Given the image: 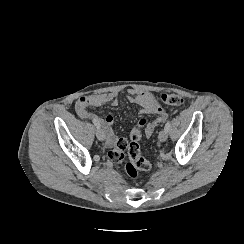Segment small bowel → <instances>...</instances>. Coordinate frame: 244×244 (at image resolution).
<instances>
[{
	"mask_svg": "<svg viewBox=\"0 0 244 244\" xmlns=\"http://www.w3.org/2000/svg\"><path fill=\"white\" fill-rule=\"evenodd\" d=\"M127 99L130 103L140 107V114L142 116H154L152 120L147 121L145 118H142L139 121L140 126L145 127L146 136H151L155 129L166 121L167 112L152 92L131 89L128 91ZM105 104L118 105L117 95L115 93H99L82 96L75 103V111L78 117L83 120H87L89 117L99 120L100 126L103 128L105 134V144L107 147H111L116 141V134L113 130V115L106 114L99 116L89 110L91 107H101Z\"/></svg>",
	"mask_w": 244,
	"mask_h": 244,
	"instance_id": "obj_1",
	"label": "small bowel"
}]
</instances>
